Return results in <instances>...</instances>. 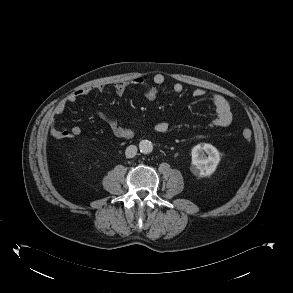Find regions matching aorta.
Masks as SVG:
<instances>
[{"label":"aorta","instance_id":"1","mask_svg":"<svg viewBox=\"0 0 293 293\" xmlns=\"http://www.w3.org/2000/svg\"><path fill=\"white\" fill-rule=\"evenodd\" d=\"M139 149H140V152L141 153H143V154H149L153 150V144L149 140H142L139 143Z\"/></svg>","mask_w":293,"mask_h":293}]
</instances>
